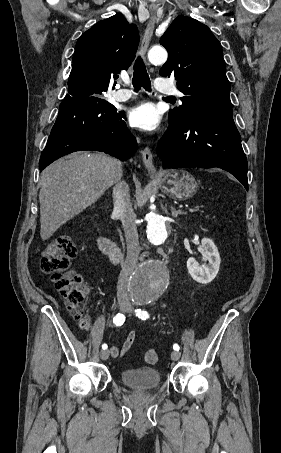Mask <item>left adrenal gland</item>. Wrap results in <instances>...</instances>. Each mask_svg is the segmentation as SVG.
<instances>
[{
	"mask_svg": "<svg viewBox=\"0 0 281 453\" xmlns=\"http://www.w3.org/2000/svg\"><path fill=\"white\" fill-rule=\"evenodd\" d=\"M171 214L172 216H178V214H181V210H176L174 206H171Z\"/></svg>",
	"mask_w": 281,
	"mask_h": 453,
	"instance_id": "1",
	"label": "left adrenal gland"
}]
</instances>
